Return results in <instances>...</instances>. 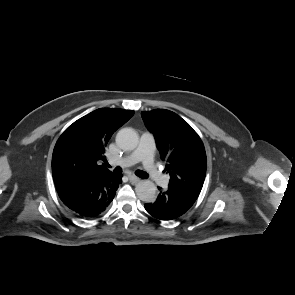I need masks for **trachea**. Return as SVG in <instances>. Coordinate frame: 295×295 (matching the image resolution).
Wrapping results in <instances>:
<instances>
[{
    "mask_svg": "<svg viewBox=\"0 0 295 295\" xmlns=\"http://www.w3.org/2000/svg\"><path fill=\"white\" fill-rule=\"evenodd\" d=\"M106 166H107V167H111L108 163H106ZM113 172H114L115 174H121V173H122V168L119 167V166H117V167L114 168ZM135 174H136L138 177L143 178V179L149 177L148 174H147L146 172L141 171V170H136V171H135Z\"/></svg>",
    "mask_w": 295,
    "mask_h": 295,
    "instance_id": "trachea-1",
    "label": "trachea"
}]
</instances>
